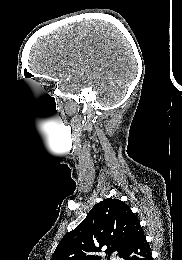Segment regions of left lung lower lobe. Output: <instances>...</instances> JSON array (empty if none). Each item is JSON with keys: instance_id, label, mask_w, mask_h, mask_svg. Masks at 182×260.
Returning a JSON list of instances; mask_svg holds the SVG:
<instances>
[{"instance_id": "obj_1", "label": "left lung lower lobe", "mask_w": 182, "mask_h": 260, "mask_svg": "<svg viewBox=\"0 0 182 260\" xmlns=\"http://www.w3.org/2000/svg\"><path fill=\"white\" fill-rule=\"evenodd\" d=\"M120 257L124 260H152L151 251L141 226L135 229Z\"/></svg>"}]
</instances>
